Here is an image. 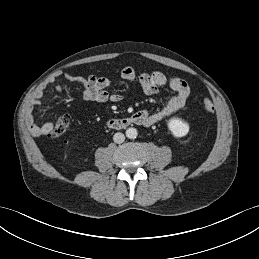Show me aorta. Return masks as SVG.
I'll list each match as a JSON object with an SVG mask.
<instances>
[{
    "label": "aorta",
    "instance_id": "obj_1",
    "mask_svg": "<svg viewBox=\"0 0 259 259\" xmlns=\"http://www.w3.org/2000/svg\"><path fill=\"white\" fill-rule=\"evenodd\" d=\"M137 135H138V133L135 128L130 127L126 130V137L129 139H134L137 137Z\"/></svg>",
    "mask_w": 259,
    "mask_h": 259
}]
</instances>
